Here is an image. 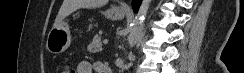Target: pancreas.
<instances>
[{
	"mask_svg": "<svg viewBox=\"0 0 244 73\" xmlns=\"http://www.w3.org/2000/svg\"><path fill=\"white\" fill-rule=\"evenodd\" d=\"M87 50L90 53H98L102 51V38L99 35H96L92 42L88 45Z\"/></svg>",
	"mask_w": 244,
	"mask_h": 73,
	"instance_id": "pancreas-1",
	"label": "pancreas"
}]
</instances>
